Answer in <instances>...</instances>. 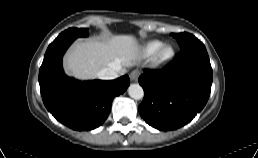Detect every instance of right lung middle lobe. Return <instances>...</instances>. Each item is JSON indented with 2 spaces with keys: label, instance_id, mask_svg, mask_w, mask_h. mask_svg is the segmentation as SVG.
Instances as JSON below:
<instances>
[{
  "label": "right lung middle lobe",
  "instance_id": "right-lung-middle-lobe-1",
  "mask_svg": "<svg viewBox=\"0 0 258 158\" xmlns=\"http://www.w3.org/2000/svg\"><path fill=\"white\" fill-rule=\"evenodd\" d=\"M88 35V30L87 29H77V28H70L59 34L57 38H62V37H86Z\"/></svg>",
  "mask_w": 258,
  "mask_h": 158
}]
</instances>
